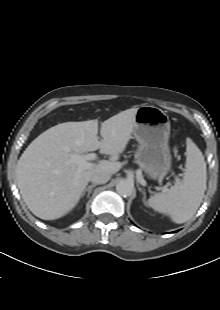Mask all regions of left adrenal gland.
Returning <instances> with one entry per match:
<instances>
[{
	"instance_id": "1",
	"label": "left adrenal gland",
	"mask_w": 220,
	"mask_h": 310,
	"mask_svg": "<svg viewBox=\"0 0 220 310\" xmlns=\"http://www.w3.org/2000/svg\"><path fill=\"white\" fill-rule=\"evenodd\" d=\"M141 190V189H140ZM142 191V190H141ZM142 193H143V195H144V197H143V202L146 204V202H145V199H146V194H145V191H142Z\"/></svg>"
}]
</instances>
